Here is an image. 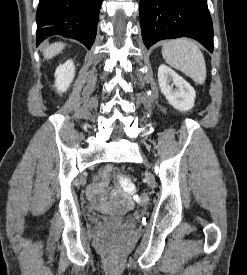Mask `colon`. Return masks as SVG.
<instances>
[{
	"label": "colon",
	"mask_w": 247,
	"mask_h": 275,
	"mask_svg": "<svg viewBox=\"0 0 247 275\" xmlns=\"http://www.w3.org/2000/svg\"><path fill=\"white\" fill-rule=\"evenodd\" d=\"M149 196L146 190L142 191L139 195L136 196V201L138 205L145 206L148 202Z\"/></svg>",
	"instance_id": "1"
}]
</instances>
